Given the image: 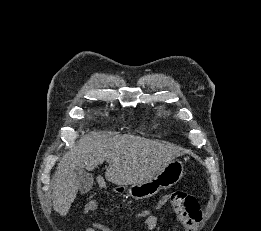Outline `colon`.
I'll return each instance as SVG.
<instances>
[{
    "label": "colon",
    "instance_id": "5ec220e1",
    "mask_svg": "<svg viewBox=\"0 0 261 231\" xmlns=\"http://www.w3.org/2000/svg\"><path fill=\"white\" fill-rule=\"evenodd\" d=\"M168 202L175 216L184 222H201L203 211L194 196L176 191L168 194Z\"/></svg>",
    "mask_w": 261,
    "mask_h": 231
}]
</instances>
